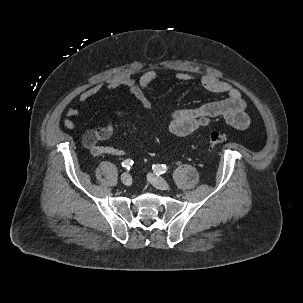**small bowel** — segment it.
I'll use <instances>...</instances> for the list:
<instances>
[{"mask_svg":"<svg viewBox=\"0 0 303 303\" xmlns=\"http://www.w3.org/2000/svg\"><path fill=\"white\" fill-rule=\"evenodd\" d=\"M179 81H194L195 77L188 73H177ZM161 77L153 71L145 72L138 78L130 74H115L107 80L109 91L113 92L118 88L127 87L130 93L139 101L145 111L151 108L147 92L151 84ZM202 87L217 96L224 95V98L207 102L199 106L182 108L176 110L169 123V131L179 137H184L206 126L212 119L223 118L231 127L238 130H245L250 125V118L246 113V102L241 92L231 84L219 80L216 77L206 75L200 79ZM100 92L99 86H92L84 90L78 98L79 105L86 103L91 97ZM80 113L79 108L70 107L66 111L63 126L67 129L75 127L74 117ZM114 132L113 120L109 118L102 127L86 131L82 137V144L94 156L125 154L123 149L110 146H102L101 141L109 139Z\"/></svg>","mask_w":303,"mask_h":303,"instance_id":"1","label":"small bowel"}]
</instances>
